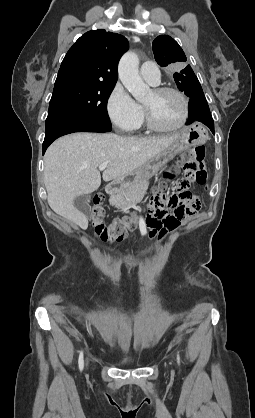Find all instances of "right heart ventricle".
Returning <instances> with one entry per match:
<instances>
[{
	"label": "right heart ventricle",
	"mask_w": 255,
	"mask_h": 418,
	"mask_svg": "<svg viewBox=\"0 0 255 418\" xmlns=\"http://www.w3.org/2000/svg\"><path fill=\"white\" fill-rule=\"evenodd\" d=\"M142 120H143V118H142ZM142 120H141V123H142ZM141 123H140V125H141ZM140 125H139V126H140ZM139 126H138V127H139Z\"/></svg>",
	"instance_id": "1"
}]
</instances>
